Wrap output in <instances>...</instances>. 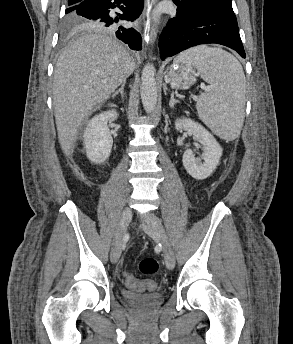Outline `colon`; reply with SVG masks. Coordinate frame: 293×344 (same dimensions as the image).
<instances>
[{"instance_id":"colon-1","label":"colon","mask_w":293,"mask_h":344,"mask_svg":"<svg viewBox=\"0 0 293 344\" xmlns=\"http://www.w3.org/2000/svg\"><path fill=\"white\" fill-rule=\"evenodd\" d=\"M159 264L154 258H145L139 263V270L144 275H153L157 273ZM126 284L130 287H141L142 289L151 290L156 288V282L152 279L145 280L143 283H138L132 275L126 274Z\"/></svg>"}]
</instances>
